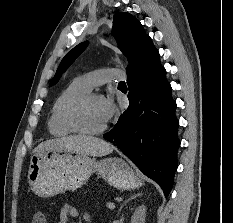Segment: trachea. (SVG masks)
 <instances>
[{
  "mask_svg": "<svg viewBox=\"0 0 233 223\" xmlns=\"http://www.w3.org/2000/svg\"><path fill=\"white\" fill-rule=\"evenodd\" d=\"M119 85H125V82H119Z\"/></svg>",
  "mask_w": 233,
  "mask_h": 223,
  "instance_id": "trachea-1",
  "label": "trachea"
}]
</instances>
